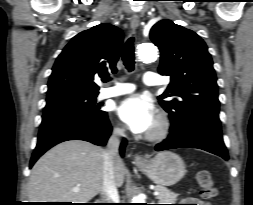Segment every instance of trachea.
Returning <instances> with one entry per match:
<instances>
[{"instance_id":"trachea-1","label":"trachea","mask_w":253,"mask_h":205,"mask_svg":"<svg viewBox=\"0 0 253 205\" xmlns=\"http://www.w3.org/2000/svg\"><path fill=\"white\" fill-rule=\"evenodd\" d=\"M122 60L128 71H133L135 66L134 57V37H130L122 48ZM105 82L108 79H104Z\"/></svg>"}]
</instances>
